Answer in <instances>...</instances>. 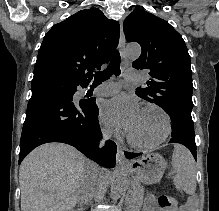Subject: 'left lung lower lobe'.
<instances>
[{
	"instance_id": "obj_1",
	"label": "left lung lower lobe",
	"mask_w": 219,
	"mask_h": 211,
	"mask_svg": "<svg viewBox=\"0 0 219 211\" xmlns=\"http://www.w3.org/2000/svg\"><path fill=\"white\" fill-rule=\"evenodd\" d=\"M171 136L172 138L169 143L183 144L191 151L195 160H197L194 125H173ZM141 154L142 153L125 152V156L127 159L135 158Z\"/></svg>"
}]
</instances>
